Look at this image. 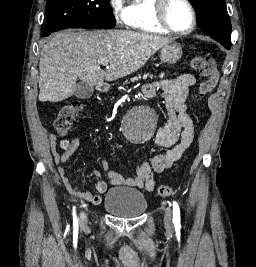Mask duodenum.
<instances>
[{
    "instance_id": "obj_1",
    "label": "duodenum",
    "mask_w": 256,
    "mask_h": 267,
    "mask_svg": "<svg viewBox=\"0 0 256 267\" xmlns=\"http://www.w3.org/2000/svg\"><path fill=\"white\" fill-rule=\"evenodd\" d=\"M111 82H114V79H111V81H98L100 94H107V90H111ZM145 87H152V82H142V89H145ZM142 98H145V95H142Z\"/></svg>"
}]
</instances>
